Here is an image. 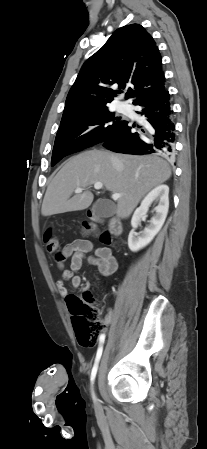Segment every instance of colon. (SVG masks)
I'll return each mask as SVG.
<instances>
[{"instance_id":"5ec220e1","label":"colon","mask_w":207,"mask_h":449,"mask_svg":"<svg viewBox=\"0 0 207 449\" xmlns=\"http://www.w3.org/2000/svg\"><path fill=\"white\" fill-rule=\"evenodd\" d=\"M81 232L83 235L96 234L98 229L93 224L84 223ZM100 238L105 243L112 241V237L107 231L100 232ZM44 242L48 252L55 253L58 261L66 259L51 226L44 230ZM67 303L78 342L82 346H94L100 338V334L105 332L106 324L99 317L93 294L88 289L84 290L78 296L70 295L67 298Z\"/></svg>"}]
</instances>
